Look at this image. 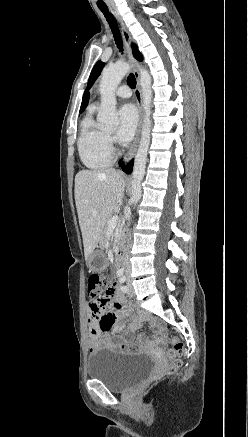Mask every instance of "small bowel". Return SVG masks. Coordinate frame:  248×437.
Returning a JSON list of instances; mask_svg holds the SVG:
<instances>
[{
    "label": "small bowel",
    "instance_id": "1",
    "mask_svg": "<svg viewBox=\"0 0 248 437\" xmlns=\"http://www.w3.org/2000/svg\"><path fill=\"white\" fill-rule=\"evenodd\" d=\"M88 332L90 353L101 348L116 349L125 352L152 351L163 343L160 327L154 323L155 334L153 337L138 335L135 341L125 340L117 343L114 341L116 334L124 326V318L127 315L125 300L118 290V284L110 287L105 294L88 302ZM138 320H135L130 328L136 329Z\"/></svg>",
    "mask_w": 248,
    "mask_h": 437
}]
</instances>
